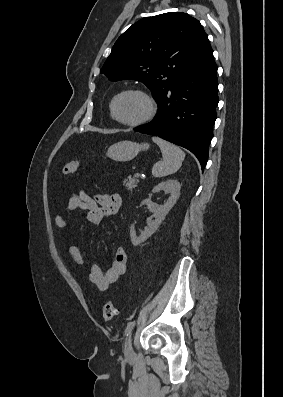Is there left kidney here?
I'll list each match as a JSON object with an SVG mask.
<instances>
[{"instance_id": "1", "label": "left kidney", "mask_w": 283, "mask_h": 397, "mask_svg": "<svg viewBox=\"0 0 283 397\" xmlns=\"http://www.w3.org/2000/svg\"><path fill=\"white\" fill-rule=\"evenodd\" d=\"M180 189H181V185L177 180H167L166 182H162L152 189V193H156L163 190L166 193H170V197L164 203V205L161 206L153 203L149 198L143 201L147 205L149 211L153 213V217L155 219L147 223V226L144 228V231L141 232L139 236H137L136 234L134 225H131L130 237L133 245L135 246L140 245L141 243L146 241L158 229V227L165 219L168 212L172 209L177 199L179 198Z\"/></svg>"}]
</instances>
